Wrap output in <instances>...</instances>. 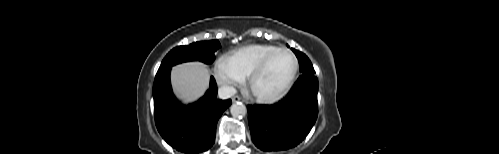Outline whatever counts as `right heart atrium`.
Segmentation results:
<instances>
[{
    "mask_svg": "<svg viewBox=\"0 0 499 154\" xmlns=\"http://www.w3.org/2000/svg\"><path fill=\"white\" fill-rule=\"evenodd\" d=\"M213 72L217 83L228 92L244 81V76L232 64L228 56H221L216 60Z\"/></svg>",
    "mask_w": 499,
    "mask_h": 154,
    "instance_id": "d8ad5b80",
    "label": "right heart atrium"
}]
</instances>
